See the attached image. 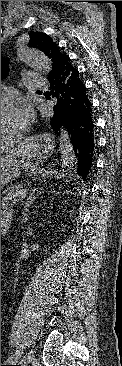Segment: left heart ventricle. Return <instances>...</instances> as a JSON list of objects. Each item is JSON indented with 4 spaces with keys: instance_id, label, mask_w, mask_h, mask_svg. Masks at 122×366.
I'll use <instances>...</instances> for the list:
<instances>
[{
    "instance_id": "left-heart-ventricle-1",
    "label": "left heart ventricle",
    "mask_w": 122,
    "mask_h": 366,
    "mask_svg": "<svg viewBox=\"0 0 122 366\" xmlns=\"http://www.w3.org/2000/svg\"><path fill=\"white\" fill-rule=\"evenodd\" d=\"M21 124L17 102L1 107V137H10L15 134Z\"/></svg>"
}]
</instances>
